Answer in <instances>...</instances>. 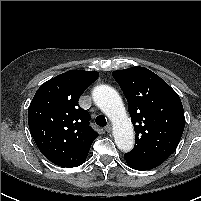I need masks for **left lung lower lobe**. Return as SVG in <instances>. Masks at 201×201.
I'll use <instances>...</instances> for the list:
<instances>
[{
    "instance_id": "1",
    "label": "left lung lower lobe",
    "mask_w": 201,
    "mask_h": 201,
    "mask_svg": "<svg viewBox=\"0 0 201 201\" xmlns=\"http://www.w3.org/2000/svg\"><path fill=\"white\" fill-rule=\"evenodd\" d=\"M125 160L129 167L141 171L153 169L162 163V162H151V163L137 162L128 157H125Z\"/></svg>"
}]
</instances>
